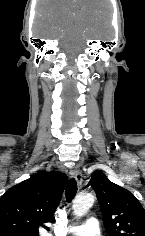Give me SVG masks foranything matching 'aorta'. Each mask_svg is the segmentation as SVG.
I'll list each match as a JSON object with an SVG mask.
<instances>
[{"mask_svg": "<svg viewBox=\"0 0 145 236\" xmlns=\"http://www.w3.org/2000/svg\"><path fill=\"white\" fill-rule=\"evenodd\" d=\"M94 201L95 197L91 193L78 195L73 202V214L76 217L84 216L92 207Z\"/></svg>", "mask_w": 145, "mask_h": 236, "instance_id": "762f6f07", "label": "aorta"}]
</instances>
